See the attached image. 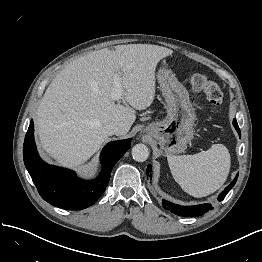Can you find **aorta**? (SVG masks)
<instances>
[{
    "mask_svg": "<svg viewBox=\"0 0 262 262\" xmlns=\"http://www.w3.org/2000/svg\"><path fill=\"white\" fill-rule=\"evenodd\" d=\"M149 156V150L145 144H136L132 148V157L137 162H144Z\"/></svg>",
    "mask_w": 262,
    "mask_h": 262,
    "instance_id": "aorta-1",
    "label": "aorta"
}]
</instances>
